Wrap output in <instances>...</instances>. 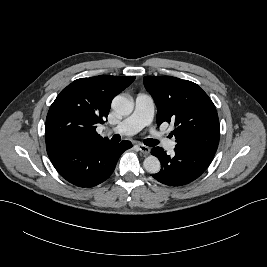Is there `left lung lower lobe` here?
<instances>
[{
  "mask_svg": "<svg viewBox=\"0 0 267 267\" xmlns=\"http://www.w3.org/2000/svg\"><path fill=\"white\" fill-rule=\"evenodd\" d=\"M151 154L161 162L160 172L153 177L168 186H182L194 181L208 168L215 155L187 146H176L172 156L161 147H154Z\"/></svg>",
  "mask_w": 267,
  "mask_h": 267,
  "instance_id": "0a47b994",
  "label": "left lung lower lobe"
}]
</instances>
